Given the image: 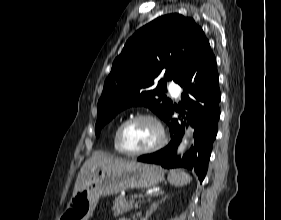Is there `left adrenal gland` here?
Listing matches in <instances>:
<instances>
[{"mask_svg":"<svg viewBox=\"0 0 281 220\" xmlns=\"http://www.w3.org/2000/svg\"><path fill=\"white\" fill-rule=\"evenodd\" d=\"M158 195V194H157ZM160 195L163 196V193L161 192ZM167 196H163L162 199L155 201L151 204L149 210L146 212V217L149 218L151 216V214L156 211V209L159 207L160 204H162V202H164L166 200Z\"/></svg>","mask_w":281,"mask_h":220,"instance_id":"a2214340","label":"left adrenal gland"}]
</instances>
